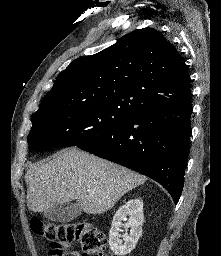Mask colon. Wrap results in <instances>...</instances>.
I'll use <instances>...</instances> for the list:
<instances>
[{"mask_svg": "<svg viewBox=\"0 0 221 256\" xmlns=\"http://www.w3.org/2000/svg\"><path fill=\"white\" fill-rule=\"evenodd\" d=\"M30 225L34 233L50 241L51 254L61 253L65 245L77 242L84 256H104L105 237L89 222L54 223L33 218Z\"/></svg>", "mask_w": 221, "mask_h": 256, "instance_id": "1", "label": "colon"}]
</instances>
